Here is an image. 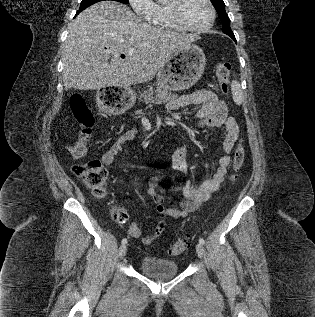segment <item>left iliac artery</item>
<instances>
[{
    "label": "left iliac artery",
    "instance_id": "44dca946",
    "mask_svg": "<svg viewBox=\"0 0 315 317\" xmlns=\"http://www.w3.org/2000/svg\"><path fill=\"white\" fill-rule=\"evenodd\" d=\"M199 243H201L202 245L205 244V240L203 238H199Z\"/></svg>",
    "mask_w": 315,
    "mask_h": 317
}]
</instances>
